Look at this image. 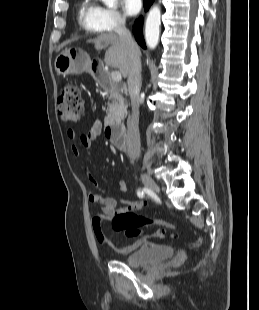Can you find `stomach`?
I'll list each match as a JSON object with an SVG mask.
<instances>
[{"label":"stomach","mask_w":259,"mask_h":310,"mask_svg":"<svg viewBox=\"0 0 259 310\" xmlns=\"http://www.w3.org/2000/svg\"><path fill=\"white\" fill-rule=\"evenodd\" d=\"M90 58L80 49L67 48L55 60V69L61 75L80 74L89 70Z\"/></svg>","instance_id":"stomach-1"}]
</instances>
